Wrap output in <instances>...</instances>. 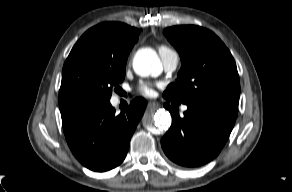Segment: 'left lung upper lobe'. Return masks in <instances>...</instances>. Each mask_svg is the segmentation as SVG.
<instances>
[{
	"label": "left lung upper lobe",
	"mask_w": 292,
	"mask_h": 192,
	"mask_svg": "<svg viewBox=\"0 0 292 192\" xmlns=\"http://www.w3.org/2000/svg\"><path fill=\"white\" fill-rule=\"evenodd\" d=\"M179 52L178 80L164 92L167 99L186 105L218 104L238 108L240 83L235 61L210 30L187 25L163 31Z\"/></svg>",
	"instance_id": "1"
}]
</instances>
